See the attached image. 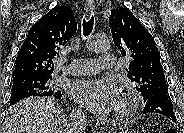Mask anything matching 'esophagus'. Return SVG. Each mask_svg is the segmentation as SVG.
Returning a JSON list of instances; mask_svg holds the SVG:
<instances>
[{
	"label": "esophagus",
	"mask_w": 184,
	"mask_h": 133,
	"mask_svg": "<svg viewBox=\"0 0 184 133\" xmlns=\"http://www.w3.org/2000/svg\"><path fill=\"white\" fill-rule=\"evenodd\" d=\"M87 15H91L95 10V3L93 0H87L84 6Z\"/></svg>",
	"instance_id": "obj_1"
}]
</instances>
